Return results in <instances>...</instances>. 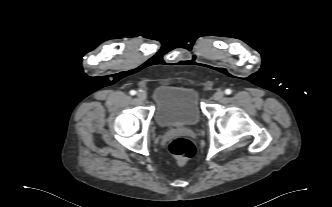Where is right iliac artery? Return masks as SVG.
Listing matches in <instances>:
<instances>
[{
  "label": "right iliac artery",
  "mask_w": 332,
  "mask_h": 207,
  "mask_svg": "<svg viewBox=\"0 0 332 207\" xmlns=\"http://www.w3.org/2000/svg\"><path fill=\"white\" fill-rule=\"evenodd\" d=\"M130 94H131V95H135V94H136V91L131 90V91H130Z\"/></svg>",
  "instance_id": "right-iliac-artery-1"
}]
</instances>
